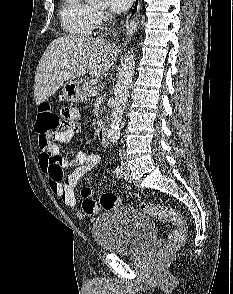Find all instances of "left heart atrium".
Segmentation results:
<instances>
[{"label":"left heart atrium","mask_w":233,"mask_h":294,"mask_svg":"<svg viewBox=\"0 0 233 294\" xmlns=\"http://www.w3.org/2000/svg\"><path fill=\"white\" fill-rule=\"evenodd\" d=\"M132 1L133 0H110V8L114 12L121 13L131 6Z\"/></svg>","instance_id":"left-heart-atrium-1"}]
</instances>
